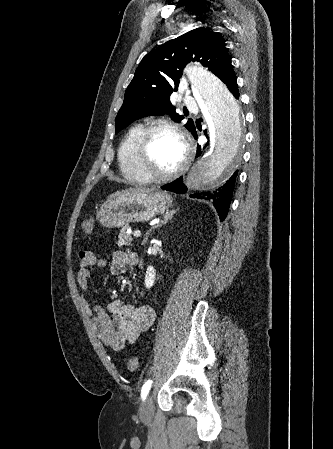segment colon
<instances>
[{
	"instance_id": "1",
	"label": "colon",
	"mask_w": 333,
	"mask_h": 449,
	"mask_svg": "<svg viewBox=\"0 0 333 449\" xmlns=\"http://www.w3.org/2000/svg\"><path fill=\"white\" fill-rule=\"evenodd\" d=\"M94 229V220L93 219H87L82 224V230L83 232L88 235L91 234ZM127 367L129 371H136L139 367V361L138 358L135 356H132L127 361Z\"/></svg>"
}]
</instances>
